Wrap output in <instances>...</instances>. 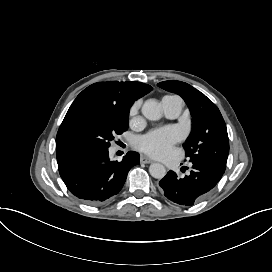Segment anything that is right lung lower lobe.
<instances>
[{"mask_svg": "<svg viewBox=\"0 0 272 272\" xmlns=\"http://www.w3.org/2000/svg\"><path fill=\"white\" fill-rule=\"evenodd\" d=\"M57 162L68 190L88 205H100L120 192L139 154L128 152L117 162L109 159L108 149H69L57 152Z\"/></svg>", "mask_w": 272, "mask_h": 272, "instance_id": "98d812e1", "label": "right lung lower lobe"}]
</instances>
